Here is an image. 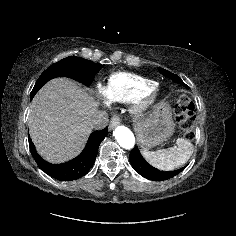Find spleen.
Here are the masks:
<instances>
[{
  "instance_id": "1",
  "label": "spleen",
  "mask_w": 236,
  "mask_h": 236,
  "mask_svg": "<svg viewBox=\"0 0 236 236\" xmlns=\"http://www.w3.org/2000/svg\"><path fill=\"white\" fill-rule=\"evenodd\" d=\"M176 144V147L158 151L143 150L141 154L152 166L160 170H174L184 165L194 151V146L183 138H178Z\"/></svg>"
}]
</instances>
